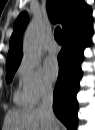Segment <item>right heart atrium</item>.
I'll list each match as a JSON object with an SVG mask.
<instances>
[{
  "instance_id": "right-heart-atrium-1",
  "label": "right heart atrium",
  "mask_w": 95,
  "mask_h": 130,
  "mask_svg": "<svg viewBox=\"0 0 95 130\" xmlns=\"http://www.w3.org/2000/svg\"><path fill=\"white\" fill-rule=\"evenodd\" d=\"M18 74L31 104L39 103L52 93V83L40 68H30L23 64L20 66Z\"/></svg>"
}]
</instances>
